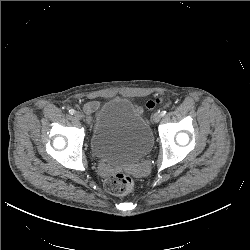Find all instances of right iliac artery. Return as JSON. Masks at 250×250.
<instances>
[{"instance_id": "obj_1", "label": "right iliac artery", "mask_w": 250, "mask_h": 250, "mask_svg": "<svg viewBox=\"0 0 250 250\" xmlns=\"http://www.w3.org/2000/svg\"><path fill=\"white\" fill-rule=\"evenodd\" d=\"M69 113H70L71 115H73V114L75 113V110H74V109H70V110H69Z\"/></svg>"}]
</instances>
